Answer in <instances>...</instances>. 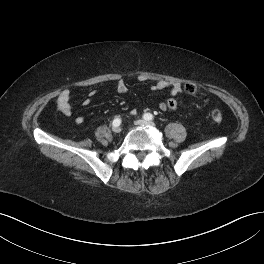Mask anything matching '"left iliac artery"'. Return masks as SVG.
<instances>
[{
  "label": "left iliac artery",
  "instance_id": "1",
  "mask_svg": "<svg viewBox=\"0 0 264 264\" xmlns=\"http://www.w3.org/2000/svg\"><path fill=\"white\" fill-rule=\"evenodd\" d=\"M143 118L149 121V120H153L154 116L151 113H146L144 114Z\"/></svg>",
  "mask_w": 264,
  "mask_h": 264
}]
</instances>
